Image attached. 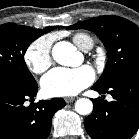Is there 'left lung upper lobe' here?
<instances>
[{
  "label": "left lung upper lobe",
  "mask_w": 139,
  "mask_h": 139,
  "mask_svg": "<svg viewBox=\"0 0 139 139\" xmlns=\"http://www.w3.org/2000/svg\"><path fill=\"white\" fill-rule=\"evenodd\" d=\"M67 29L90 30L101 39L108 61L96 86L105 88L120 75L139 66V27L118 16L106 15L78 22Z\"/></svg>",
  "instance_id": "obj_1"
}]
</instances>
